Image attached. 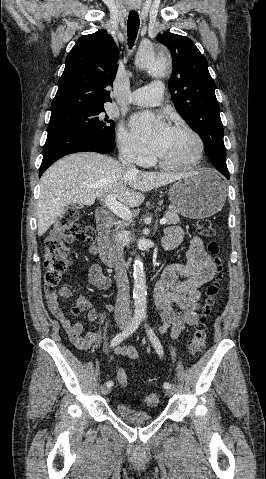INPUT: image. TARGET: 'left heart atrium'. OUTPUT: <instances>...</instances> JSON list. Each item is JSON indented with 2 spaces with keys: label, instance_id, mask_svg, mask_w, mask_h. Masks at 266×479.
I'll return each instance as SVG.
<instances>
[{
  "label": "left heart atrium",
  "instance_id": "39dd6f15",
  "mask_svg": "<svg viewBox=\"0 0 266 479\" xmlns=\"http://www.w3.org/2000/svg\"><path fill=\"white\" fill-rule=\"evenodd\" d=\"M130 125L135 137L157 155L164 149L172 130L166 122L150 112L135 114Z\"/></svg>",
  "mask_w": 266,
  "mask_h": 479
}]
</instances>
